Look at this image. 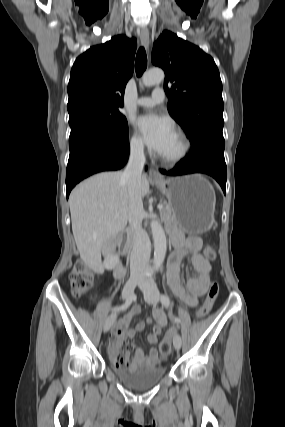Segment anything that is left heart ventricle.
Returning a JSON list of instances; mask_svg holds the SVG:
<instances>
[{
    "label": "left heart ventricle",
    "mask_w": 285,
    "mask_h": 427,
    "mask_svg": "<svg viewBox=\"0 0 285 427\" xmlns=\"http://www.w3.org/2000/svg\"><path fill=\"white\" fill-rule=\"evenodd\" d=\"M181 147V140L175 133H173L158 154L165 157L175 156L180 152Z\"/></svg>",
    "instance_id": "left-heart-ventricle-1"
}]
</instances>
